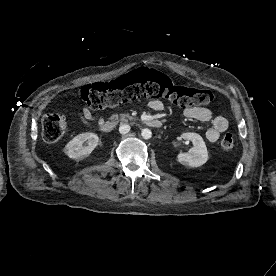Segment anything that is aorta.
Returning <instances> with one entry per match:
<instances>
[{
    "mask_svg": "<svg viewBox=\"0 0 276 276\" xmlns=\"http://www.w3.org/2000/svg\"><path fill=\"white\" fill-rule=\"evenodd\" d=\"M141 135L144 139H150L152 137V132L151 130L145 128L142 130Z\"/></svg>",
    "mask_w": 276,
    "mask_h": 276,
    "instance_id": "aorta-1",
    "label": "aorta"
}]
</instances>
